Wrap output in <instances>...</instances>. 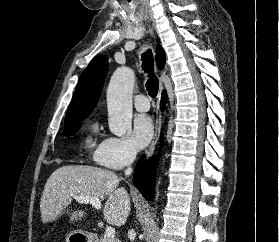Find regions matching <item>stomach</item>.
<instances>
[{"label": "stomach", "mask_w": 279, "mask_h": 242, "mask_svg": "<svg viewBox=\"0 0 279 242\" xmlns=\"http://www.w3.org/2000/svg\"><path fill=\"white\" fill-rule=\"evenodd\" d=\"M90 239V234L82 230L71 231L66 237L67 242H91Z\"/></svg>", "instance_id": "obj_1"}]
</instances>
